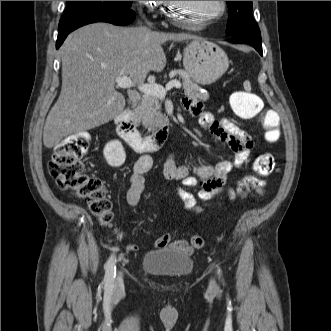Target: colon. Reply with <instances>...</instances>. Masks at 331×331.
<instances>
[{
	"instance_id": "obj_1",
	"label": "colon",
	"mask_w": 331,
	"mask_h": 331,
	"mask_svg": "<svg viewBox=\"0 0 331 331\" xmlns=\"http://www.w3.org/2000/svg\"><path fill=\"white\" fill-rule=\"evenodd\" d=\"M230 105L234 114L243 120L260 118L267 141L276 142L279 138V116L275 111H264L263 102L259 96L250 91H237L231 95ZM90 145V138L84 132H78L66 137L55 148L48 170L58 187L69 191L86 202L93 214L102 224L112 221V204L106 196L102 181L85 173L83 157ZM274 170V157L270 153H262L253 163V171L259 176H267ZM243 187L238 192L243 197L247 192ZM192 245L201 248L204 240L195 235Z\"/></svg>"
}]
</instances>
